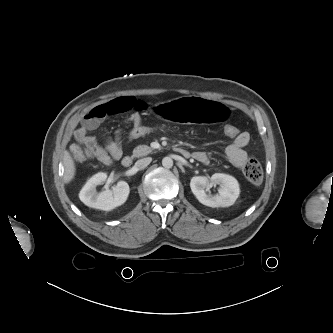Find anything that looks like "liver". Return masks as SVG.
I'll return each instance as SVG.
<instances>
[{
  "label": "liver",
  "mask_w": 333,
  "mask_h": 333,
  "mask_svg": "<svg viewBox=\"0 0 333 333\" xmlns=\"http://www.w3.org/2000/svg\"><path fill=\"white\" fill-rule=\"evenodd\" d=\"M64 163V182L69 183L75 176L76 168L73 158L68 151L64 152L63 155Z\"/></svg>",
  "instance_id": "6515ba94"
}]
</instances>
